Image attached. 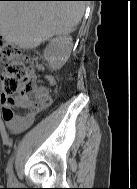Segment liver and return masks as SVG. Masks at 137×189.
Returning <instances> with one entry per match:
<instances>
[{
	"mask_svg": "<svg viewBox=\"0 0 137 189\" xmlns=\"http://www.w3.org/2000/svg\"><path fill=\"white\" fill-rule=\"evenodd\" d=\"M84 10L83 1H0V29L8 43L33 48L73 31Z\"/></svg>",
	"mask_w": 137,
	"mask_h": 189,
	"instance_id": "liver-1",
	"label": "liver"
}]
</instances>
